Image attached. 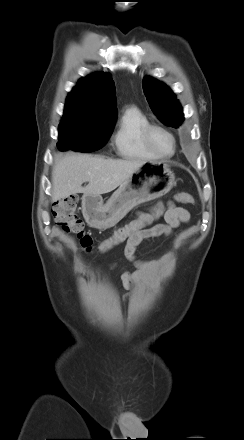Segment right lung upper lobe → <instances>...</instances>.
<instances>
[{"mask_svg": "<svg viewBox=\"0 0 244 440\" xmlns=\"http://www.w3.org/2000/svg\"><path fill=\"white\" fill-rule=\"evenodd\" d=\"M114 82L107 73H95L79 80L68 95L61 122L68 120L115 123L117 102Z\"/></svg>", "mask_w": 244, "mask_h": 440, "instance_id": "right-lung-upper-lobe-1", "label": "right lung upper lobe"}]
</instances>
